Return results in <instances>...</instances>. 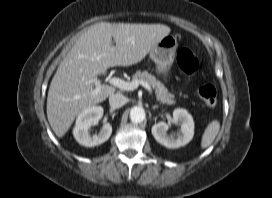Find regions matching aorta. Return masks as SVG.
I'll use <instances>...</instances> for the list:
<instances>
[{
  "mask_svg": "<svg viewBox=\"0 0 272 198\" xmlns=\"http://www.w3.org/2000/svg\"><path fill=\"white\" fill-rule=\"evenodd\" d=\"M145 110L142 107H133L130 111V119L133 123H141L145 120Z\"/></svg>",
  "mask_w": 272,
  "mask_h": 198,
  "instance_id": "aorta-1",
  "label": "aorta"
}]
</instances>
